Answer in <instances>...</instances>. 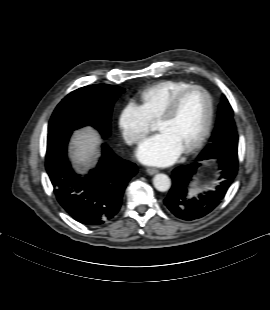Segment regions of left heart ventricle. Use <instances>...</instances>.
<instances>
[{
	"label": "left heart ventricle",
	"mask_w": 270,
	"mask_h": 310,
	"mask_svg": "<svg viewBox=\"0 0 270 310\" xmlns=\"http://www.w3.org/2000/svg\"><path fill=\"white\" fill-rule=\"evenodd\" d=\"M207 99L201 91H191L181 100L175 115L168 121H159L157 129L180 148H188L200 135L207 115Z\"/></svg>",
	"instance_id": "1"
}]
</instances>
